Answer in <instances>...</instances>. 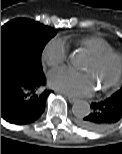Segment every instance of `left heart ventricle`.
<instances>
[{
  "label": "left heart ventricle",
  "mask_w": 122,
  "mask_h": 154,
  "mask_svg": "<svg viewBox=\"0 0 122 154\" xmlns=\"http://www.w3.org/2000/svg\"><path fill=\"white\" fill-rule=\"evenodd\" d=\"M116 64L113 60L103 66H96L91 59L87 62L83 71L89 73L94 86H101L109 81L115 73Z\"/></svg>",
  "instance_id": "obj_1"
}]
</instances>
